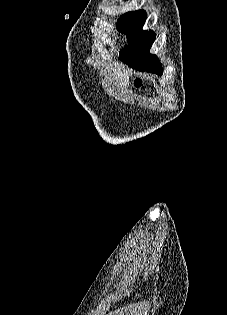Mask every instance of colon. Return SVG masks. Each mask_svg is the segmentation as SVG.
Masks as SVG:
<instances>
[{"mask_svg":"<svg viewBox=\"0 0 227 315\" xmlns=\"http://www.w3.org/2000/svg\"><path fill=\"white\" fill-rule=\"evenodd\" d=\"M142 84V79L141 78H136L134 81L135 87H140Z\"/></svg>","mask_w":227,"mask_h":315,"instance_id":"obj_1","label":"colon"}]
</instances>
